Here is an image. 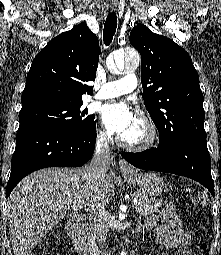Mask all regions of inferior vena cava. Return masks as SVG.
<instances>
[{
	"label": "inferior vena cava",
	"instance_id": "602c4592",
	"mask_svg": "<svg viewBox=\"0 0 221 255\" xmlns=\"http://www.w3.org/2000/svg\"><path fill=\"white\" fill-rule=\"evenodd\" d=\"M111 152L106 137H101L96 143V148L89 170L94 179L100 180L110 166ZM90 221H92V231L97 235V240L101 245H105L108 227L106 225V214L104 207H96L91 210Z\"/></svg>",
	"mask_w": 221,
	"mask_h": 255
}]
</instances>
